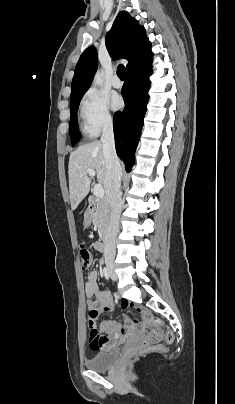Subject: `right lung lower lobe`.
Wrapping results in <instances>:
<instances>
[{"label": "right lung lower lobe", "instance_id": "98d812e1", "mask_svg": "<svg viewBox=\"0 0 235 404\" xmlns=\"http://www.w3.org/2000/svg\"><path fill=\"white\" fill-rule=\"evenodd\" d=\"M151 62L152 60L126 73L122 88L125 108L122 112H116L113 119L116 152L125 163L127 172L131 171L134 164L135 150L143 126L149 98Z\"/></svg>", "mask_w": 235, "mask_h": 404}]
</instances>
